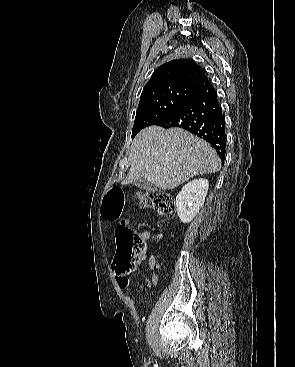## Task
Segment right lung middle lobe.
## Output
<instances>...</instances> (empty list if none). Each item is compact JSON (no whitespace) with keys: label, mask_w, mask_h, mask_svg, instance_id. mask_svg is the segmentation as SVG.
Returning <instances> with one entry per match:
<instances>
[{"label":"right lung middle lobe","mask_w":295,"mask_h":367,"mask_svg":"<svg viewBox=\"0 0 295 367\" xmlns=\"http://www.w3.org/2000/svg\"><path fill=\"white\" fill-rule=\"evenodd\" d=\"M194 92L182 87L159 91L140 99L132 138L143 128L156 125L170 115Z\"/></svg>","instance_id":"1"}]
</instances>
